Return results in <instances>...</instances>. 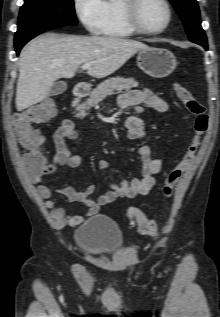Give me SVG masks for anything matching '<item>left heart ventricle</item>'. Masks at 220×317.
<instances>
[{
    "mask_svg": "<svg viewBox=\"0 0 220 317\" xmlns=\"http://www.w3.org/2000/svg\"><path fill=\"white\" fill-rule=\"evenodd\" d=\"M167 19V10L161 0H144L140 8V21L147 29L161 28Z\"/></svg>",
    "mask_w": 220,
    "mask_h": 317,
    "instance_id": "b2bd125f",
    "label": "left heart ventricle"
}]
</instances>
